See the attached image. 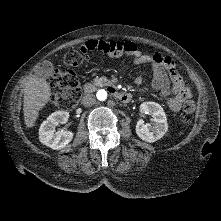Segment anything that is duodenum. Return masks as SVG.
Wrapping results in <instances>:
<instances>
[{"mask_svg": "<svg viewBox=\"0 0 221 221\" xmlns=\"http://www.w3.org/2000/svg\"><path fill=\"white\" fill-rule=\"evenodd\" d=\"M108 89L111 94H113L118 100H120L123 103H128L132 100L131 93L119 91L112 86H110ZM93 90L94 86L92 84H86L84 88V93L88 95L91 92H93Z\"/></svg>", "mask_w": 221, "mask_h": 221, "instance_id": "obj_1", "label": "duodenum"}]
</instances>
